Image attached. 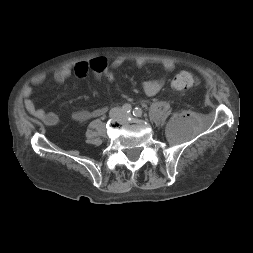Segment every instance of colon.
<instances>
[{"mask_svg":"<svg viewBox=\"0 0 253 253\" xmlns=\"http://www.w3.org/2000/svg\"><path fill=\"white\" fill-rule=\"evenodd\" d=\"M91 71L100 79H106L110 82L115 80L113 72L108 68V61L104 57H97L89 62ZM198 84L197 79L189 72H181L172 80V86L178 90H187Z\"/></svg>","mask_w":253,"mask_h":253,"instance_id":"1","label":"colon"}]
</instances>
